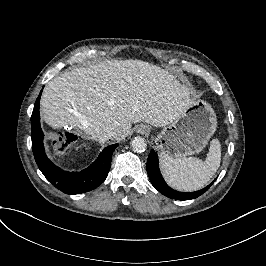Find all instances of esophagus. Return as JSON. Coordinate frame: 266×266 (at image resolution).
Returning a JSON list of instances; mask_svg holds the SVG:
<instances>
[{
    "label": "esophagus",
    "instance_id": "1",
    "mask_svg": "<svg viewBox=\"0 0 266 266\" xmlns=\"http://www.w3.org/2000/svg\"><path fill=\"white\" fill-rule=\"evenodd\" d=\"M138 132H139L140 134H145V133L147 132V129H146L145 126H140V127L138 128Z\"/></svg>",
    "mask_w": 266,
    "mask_h": 266
}]
</instances>
